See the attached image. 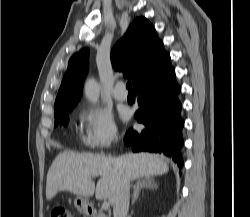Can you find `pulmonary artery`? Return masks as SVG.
Returning a JSON list of instances; mask_svg holds the SVG:
<instances>
[{"instance_id": "obj_1", "label": "pulmonary artery", "mask_w": 250, "mask_h": 217, "mask_svg": "<svg viewBox=\"0 0 250 217\" xmlns=\"http://www.w3.org/2000/svg\"><path fill=\"white\" fill-rule=\"evenodd\" d=\"M112 95L117 101H126L127 92L125 90V85L123 82H118L112 90Z\"/></svg>"}]
</instances>
